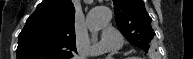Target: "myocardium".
<instances>
[{
	"label": "myocardium",
	"instance_id": "f54148a6",
	"mask_svg": "<svg viewBox=\"0 0 193 59\" xmlns=\"http://www.w3.org/2000/svg\"><path fill=\"white\" fill-rule=\"evenodd\" d=\"M123 59H141L139 57H134V56H128V57H124Z\"/></svg>",
	"mask_w": 193,
	"mask_h": 59
}]
</instances>
